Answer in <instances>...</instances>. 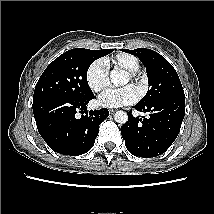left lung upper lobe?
<instances>
[{"label":"left lung upper lobe","mask_w":214,"mask_h":214,"mask_svg":"<svg viewBox=\"0 0 214 214\" xmlns=\"http://www.w3.org/2000/svg\"><path fill=\"white\" fill-rule=\"evenodd\" d=\"M122 51L137 56L146 67L150 89L139 104H147L163 98H185L177 72L159 53L146 48Z\"/></svg>","instance_id":"obj_1"}]
</instances>
